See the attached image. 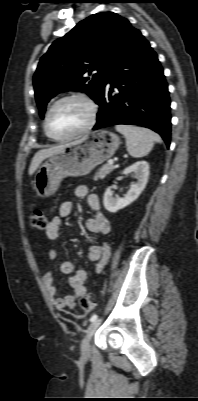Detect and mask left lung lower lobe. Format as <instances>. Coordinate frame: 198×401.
<instances>
[{"instance_id":"0a47b994","label":"left lung lower lobe","mask_w":198,"mask_h":401,"mask_svg":"<svg viewBox=\"0 0 198 401\" xmlns=\"http://www.w3.org/2000/svg\"><path fill=\"white\" fill-rule=\"evenodd\" d=\"M93 130L115 124L139 125L170 145V99L157 54L138 30L113 66L100 94Z\"/></svg>"}]
</instances>
